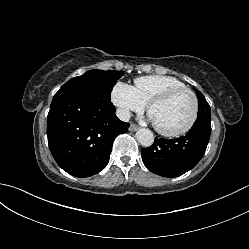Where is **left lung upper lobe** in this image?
Wrapping results in <instances>:
<instances>
[{"mask_svg":"<svg viewBox=\"0 0 249 249\" xmlns=\"http://www.w3.org/2000/svg\"><path fill=\"white\" fill-rule=\"evenodd\" d=\"M195 92L197 94L198 102H199L198 117L211 116L210 106L208 102L206 101L205 97L200 91L195 90Z\"/></svg>","mask_w":249,"mask_h":249,"instance_id":"obj_1","label":"left lung upper lobe"}]
</instances>
